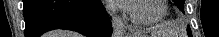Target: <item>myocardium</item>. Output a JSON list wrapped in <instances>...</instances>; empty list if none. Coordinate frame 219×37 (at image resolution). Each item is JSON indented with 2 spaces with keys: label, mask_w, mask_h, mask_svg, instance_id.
Segmentation results:
<instances>
[{
  "label": "myocardium",
  "mask_w": 219,
  "mask_h": 37,
  "mask_svg": "<svg viewBox=\"0 0 219 37\" xmlns=\"http://www.w3.org/2000/svg\"><path fill=\"white\" fill-rule=\"evenodd\" d=\"M141 1V0H134L133 2ZM161 10L156 17L149 18V19H142L135 16L131 10V7L127 8V12L131 22L137 26H152L159 23L167 14L168 12V2L166 0H160Z\"/></svg>",
  "instance_id": "f54148a6"
}]
</instances>
